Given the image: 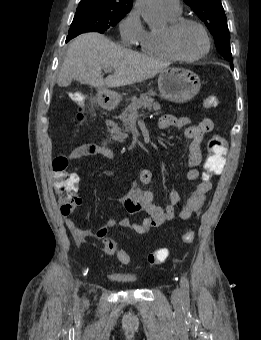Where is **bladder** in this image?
<instances>
[{"instance_id": "bladder-1", "label": "bladder", "mask_w": 261, "mask_h": 340, "mask_svg": "<svg viewBox=\"0 0 261 340\" xmlns=\"http://www.w3.org/2000/svg\"><path fill=\"white\" fill-rule=\"evenodd\" d=\"M113 280L120 281L123 283H136L138 281L137 277L132 275H120L113 273L110 276Z\"/></svg>"}]
</instances>
